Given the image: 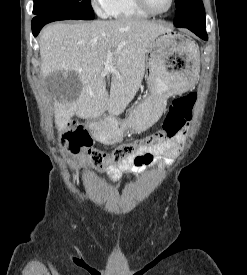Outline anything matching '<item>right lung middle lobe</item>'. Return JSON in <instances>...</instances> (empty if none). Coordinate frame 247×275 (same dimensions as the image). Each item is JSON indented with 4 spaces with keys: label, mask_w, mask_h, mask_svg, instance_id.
Masks as SVG:
<instances>
[{
    "label": "right lung middle lobe",
    "mask_w": 247,
    "mask_h": 275,
    "mask_svg": "<svg viewBox=\"0 0 247 275\" xmlns=\"http://www.w3.org/2000/svg\"><path fill=\"white\" fill-rule=\"evenodd\" d=\"M33 13L36 16L58 15L75 20L94 18L90 0H34Z\"/></svg>",
    "instance_id": "right-lung-middle-lobe-1"
}]
</instances>
